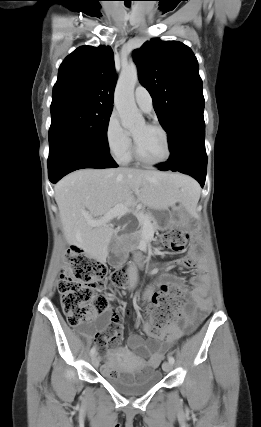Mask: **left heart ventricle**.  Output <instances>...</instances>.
I'll return each instance as SVG.
<instances>
[{
	"label": "left heart ventricle",
	"instance_id": "1",
	"mask_svg": "<svg viewBox=\"0 0 261 427\" xmlns=\"http://www.w3.org/2000/svg\"><path fill=\"white\" fill-rule=\"evenodd\" d=\"M140 155L148 161H158L167 153L163 134L154 128L142 123L132 130Z\"/></svg>",
	"mask_w": 261,
	"mask_h": 427
}]
</instances>
